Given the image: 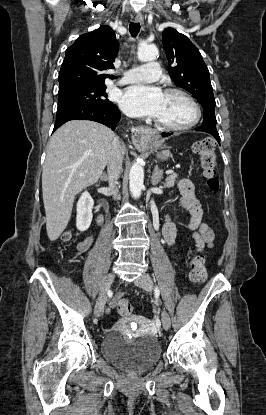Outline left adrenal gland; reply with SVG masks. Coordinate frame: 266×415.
<instances>
[{
  "label": "left adrenal gland",
  "instance_id": "1",
  "mask_svg": "<svg viewBox=\"0 0 266 415\" xmlns=\"http://www.w3.org/2000/svg\"><path fill=\"white\" fill-rule=\"evenodd\" d=\"M163 175V171L159 170L158 165L155 166L154 171L151 176V183L152 185L156 186L161 181Z\"/></svg>",
  "mask_w": 266,
  "mask_h": 415
}]
</instances>
